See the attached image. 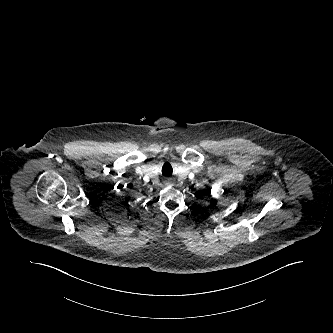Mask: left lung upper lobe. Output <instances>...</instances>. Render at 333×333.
I'll return each mask as SVG.
<instances>
[{
    "instance_id": "obj_1",
    "label": "left lung upper lobe",
    "mask_w": 333,
    "mask_h": 333,
    "mask_svg": "<svg viewBox=\"0 0 333 333\" xmlns=\"http://www.w3.org/2000/svg\"><path fill=\"white\" fill-rule=\"evenodd\" d=\"M210 192H211V190L208 189L205 194L210 195ZM215 204H216V200H212L211 205L214 206Z\"/></svg>"
}]
</instances>
